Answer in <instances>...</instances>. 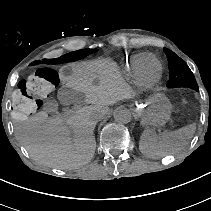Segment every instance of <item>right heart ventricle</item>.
Instances as JSON below:
<instances>
[{
	"instance_id": "e07e8e85",
	"label": "right heart ventricle",
	"mask_w": 211,
	"mask_h": 211,
	"mask_svg": "<svg viewBox=\"0 0 211 211\" xmlns=\"http://www.w3.org/2000/svg\"><path fill=\"white\" fill-rule=\"evenodd\" d=\"M146 59L147 54L144 51L129 53L118 61L119 70L127 81H132L137 69L146 62Z\"/></svg>"
}]
</instances>
